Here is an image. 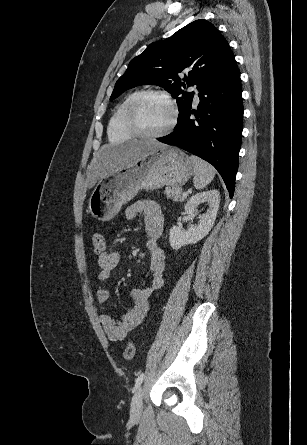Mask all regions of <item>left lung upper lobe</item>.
<instances>
[{
	"instance_id": "5c2ea615",
	"label": "left lung upper lobe",
	"mask_w": 307,
	"mask_h": 445,
	"mask_svg": "<svg viewBox=\"0 0 307 445\" xmlns=\"http://www.w3.org/2000/svg\"><path fill=\"white\" fill-rule=\"evenodd\" d=\"M233 57L217 28L207 20H196L171 37L151 43L132 59L116 82L110 100L135 86L159 85L177 99L179 122L191 109L194 95L193 92H184L182 87L197 85L200 91ZM182 72L187 74L183 78L186 83H181Z\"/></svg>"
}]
</instances>
